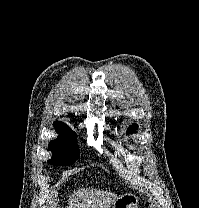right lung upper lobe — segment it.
<instances>
[{"mask_svg": "<svg viewBox=\"0 0 199 208\" xmlns=\"http://www.w3.org/2000/svg\"><path fill=\"white\" fill-rule=\"evenodd\" d=\"M54 127H55L56 132L59 134L75 133L65 123L60 122V121H55Z\"/></svg>", "mask_w": 199, "mask_h": 208, "instance_id": "right-lung-upper-lobe-1", "label": "right lung upper lobe"}]
</instances>
